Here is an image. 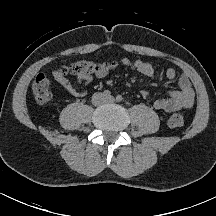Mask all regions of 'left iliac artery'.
<instances>
[{
    "label": "left iliac artery",
    "mask_w": 216,
    "mask_h": 216,
    "mask_svg": "<svg viewBox=\"0 0 216 216\" xmlns=\"http://www.w3.org/2000/svg\"><path fill=\"white\" fill-rule=\"evenodd\" d=\"M123 100V97L121 95L116 96V101L121 102Z\"/></svg>",
    "instance_id": "44dca946"
}]
</instances>
